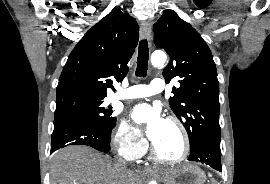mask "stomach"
Wrapping results in <instances>:
<instances>
[{
    "label": "stomach",
    "mask_w": 270,
    "mask_h": 184,
    "mask_svg": "<svg viewBox=\"0 0 270 184\" xmlns=\"http://www.w3.org/2000/svg\"><path fill=\"white\" fill-rule=\"evenodd\" d=\"M163 178L165 184H204L206 180L203 171L191 163L165 171Z\"/></svg>",
    "instance_id": "1"
}]
</instances>
